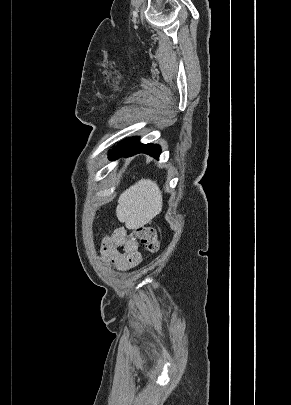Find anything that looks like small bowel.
Wrapping results in <instances>:
<instances>
[{
  "label": "small bowel",
  "mask_w": 291,
  "mask_h": 405,
  "mask_svg": "<svg viewBox=\"0 0 291 405\" xmlns=\"http://www.w3.org/2000/svg\"><path fill=\"white\" fill-rule=\"evenodd\" d=\"M100 253L106 263L114 265L119 271L136 267L142 261L138 242L128 236L124 227L116 229L103 239Z\"/></svg>",
  "instance_id": "small-bowel-1"
}]
</instances>
